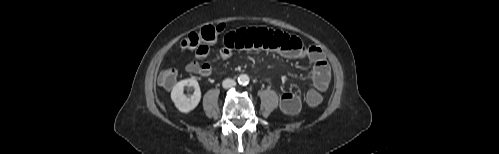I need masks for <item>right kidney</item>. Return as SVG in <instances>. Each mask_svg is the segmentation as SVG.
Listing matches in <instances>:
<instances>
[{"mask_svg":"<svg viewBox=\"0 0 499 154\" xmlns=\"http://www.w3.org/2000/svg\"><path fill=\"white\" fill-rule=\"evenodd\" d=\"M185 86L194 90L193 94L189 97L183 93ZM171 99L176 108L182 113H189L195 109L201 99V90L197 80L189 78L176 83L171 91Z\"/></svg>","mask_w":499,"mask_h":154,"instance_id":"obj_1","label":"right kidney"}]
</instances>
